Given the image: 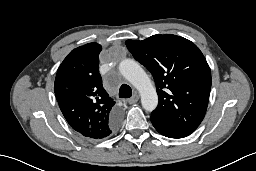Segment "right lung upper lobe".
<instances>
[{
	"label": "right lung upper lobe",
	"instance_id": "right-lung-upper-lobe-1",
	"mask_svg": "<svg viewBox=\"0 0 256 171\" xmlns=\"http://www.w3.org/2000/svg\"><path fill=\"white\" fill-rule=\"evenodd\" d=\"M98 43L73 49L58 68L54 91L69 125L83 136L102 139L109 136L115 102L102 85L99 74Z\"/></svg>",
	"mask_w": 256,
	"mask_h": 171
}]
</instances>
